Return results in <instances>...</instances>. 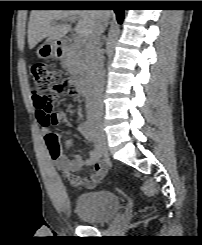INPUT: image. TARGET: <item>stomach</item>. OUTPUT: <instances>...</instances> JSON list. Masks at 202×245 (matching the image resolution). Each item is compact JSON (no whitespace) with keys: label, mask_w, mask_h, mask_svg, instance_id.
Segmentation results:
<instances>
[{"label":"stomach","mask_w":202,"mask_h":245,"mask_svg":"<svg viewBox=\"0 0 202 245\" xmlns=\"http://www.w3.org/2000/svg\"><path fill=\"white\" fill-rule=\"evenodd\" d=\"M37 56L41 59L48 60L58 56L57 42H44L37 48Z\"/></svg>","instance_id":"0dacf381"}]
</instances>
